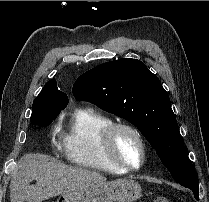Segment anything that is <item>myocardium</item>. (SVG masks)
I'll list each match as a JSON object with an SVG mask.
<instances>
[{
	"mask_svg": "<svg viewBox=\"0 0 209 202\" xmlns=\"http://www.w3.org/2000/svg\"><path fill=\"white\" fill-rule=\"evenodd\" d=\"M128 131L130 132L139 142L141 147V161L137 166L131 165L128 162L120 159L114 150V137L119 131ZM102 150L106 156V158L115 166L126 170V171H138L144 165L147 158V144L138 128L134 125L127 122H113L105 131L103 139H102Z\"/></svg>",
	"mask_w": 209,
	"mask_h": 202,
	"instance_id": "obj_1",
	"label": "myocardium"
}]
</instances>
